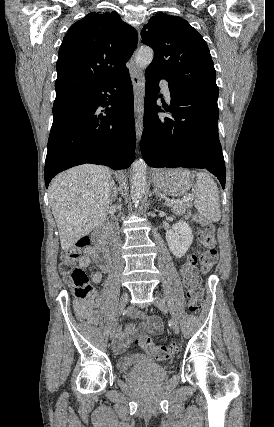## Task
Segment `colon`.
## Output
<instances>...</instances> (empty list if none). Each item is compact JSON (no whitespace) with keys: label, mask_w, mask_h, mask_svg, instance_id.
Listing matches in <instances>:
<instances>
[{"label":"colon","mask_w":274,"mask_h":427,"mask_svg":"<svg viewBox=\"0 0 274 427\" xmlns=\"http://www.w3.org/2000/svg\"><path fill=\"white\" fill-rule=\"evenodd\" d=\"M202 219H199V222ZM199 241L202 248H216L215 225L210 221H203L200 226ZM92 240L90 236L83 234L79 236L76 244L78 247L86 249L90 247ZM201 251L197 253L196 258L184 264L181 270V276L187 288L188 309L191 313L199 312L201 303L205 301L204 288L201 284V278L198 274V262L201 259ZM80 259V252L72 249L65 253L61 271L69 279L72 285L74 295L79 299H85L92 291V286L86 270L76 265ZM139 348L159 360L171 358L177 352L175 343L168 345H155L146 337H141L138 343Z\"/></svg>","instance_id":"colon-1"}]
</instances>
